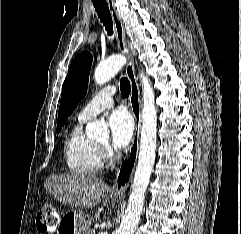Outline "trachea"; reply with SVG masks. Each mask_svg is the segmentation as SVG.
<instances>
[{"mask_svg": "<svg viewBox=\"0 0 241 234\" xmlns=\"http://www.w3.org/2000/svg\"><path fill=\"white\" fill-rule=\"evenodd\" d=\"M95 10L100 18V21L105 26L108 35L113 34V22L108 4L105 0H92ZM120 89L124 97H128L130 94L131 86L127 78L123 77L120 80Z\"/></svg>", "mask_w": 241, "mask_h": 234, "instance_id": "trachea-1", "label": "trachea"}]
</instances>
